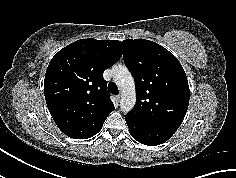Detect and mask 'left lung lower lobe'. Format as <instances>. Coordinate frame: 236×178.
I'll use <instances>...</instances> for the list:
<instances>
[{
    "label": "left lung lower lobe",
    "instance_id": "1",
    "mask_svg": "<svg viewBox=\"0 0 236 178\" xmlns=\"http://www.w3.org/2000/svg\"><path fill=\"white\" fill-rule=\"evenodd\" d=\"M131 136L138 142L156 146L167 141L175 132L158 129L125 117Z\"/></svg>",
    "mask_w": 236,
    "mask_h": 178
}]
</instances>
